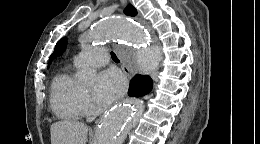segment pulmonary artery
<instances>
[{"mask_svg": "<svg viewBox=\"0 0 260 144\" xmlns=\"http://www.w3.org/2000/svg\"><path fill=\"white\" fill-rule=\"evenodd\" d=\"M108 61L109 55L104 47H94L88 51L80 52L74 57V63L78 66L101 67L107 64Z\"/></svg>", "mask_w": 260, "mask_h": 144, "instance_id": "obj_1", "label": "pulmonary artery"}]
</instances>
